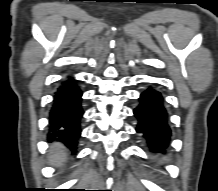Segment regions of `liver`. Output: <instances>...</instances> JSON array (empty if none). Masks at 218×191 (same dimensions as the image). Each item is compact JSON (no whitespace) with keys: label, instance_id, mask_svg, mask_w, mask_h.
I'll use <instances>...</instances> for the list:
<instances>
[{"label":"liver","instance_id":"1","mask_svg":"<svg viewBox=\"0 0 218 191\" xmlns=\"http://www.w3.org/2000/svg\"><path fill=\"white\" fill-rule=\"evenodd\" d=\"M67 160V153L64 146L60 143H54L51 147L49 163L55 166H63Z\"/></svg>","mask_w":218,"mask_h":191}]
</instances>
